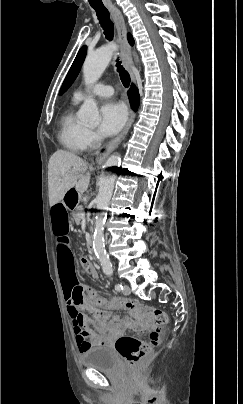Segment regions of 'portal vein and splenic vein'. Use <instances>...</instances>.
Instances as JSON below:
<instances>
[{"instance_id": "obj_1", "label": "portal vein and splenic vein", "mask_w": 243, "mask_h": 404, "mask_svg": "<svg viewBox=\"0 0 243 404\" xmlns=\"http://www.w3.org/2000/svg\"><path fill=\"white\" fill-rule=\"evenodd\" d=\"M85 210L84 209H81L80 211H77V216H80L81 218H84L85 217Z\"/></svg>"}]
</instances>
